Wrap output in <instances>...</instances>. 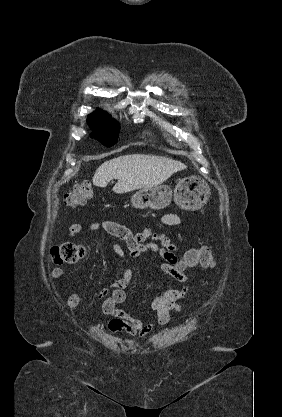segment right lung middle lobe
<instances>
[{"mask_svg":"<svg viewBox=\"0 0 282 417\" xmlns=\"http://www.w3.org/2000/svg\"><path fill=\"white\" fill-rule=\"evenodd\" d=\"M87 122L92 128H102L91 136L95 135L103 145L110 147L117 142L119 125L112 122L109 115L104 111L97 110L91 113L88 115Z\"/></svg>","mask_w":282,"mask_h":417,"instance_id":"obj_1","label":"right lung middle lobe"}]
</instances>
